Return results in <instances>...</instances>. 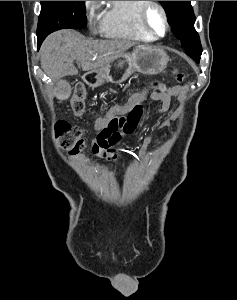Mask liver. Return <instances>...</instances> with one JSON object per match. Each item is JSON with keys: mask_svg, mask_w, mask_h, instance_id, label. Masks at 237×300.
Masks as SVG:
<instances>
[{"mask_svg": "<svg viewBox=\"0 0 237 300\" xmlns=\"http://www.w3.org/2000/svg\"><path fill=\"white\" fill-rule=\"evenodd\" d=\"M133 45L136 43L132 41H92L74 31H58L45 39L40 53L41 65L48 75L60 79L78 75L74 59L80 61L82 71H91L108 65Z\"/></svg>", "mask_w": 237, "mask_h": 300, "instance_id": "1", "label": "liver"}]
</instances>
